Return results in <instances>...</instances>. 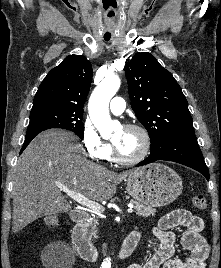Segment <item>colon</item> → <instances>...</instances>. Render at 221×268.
I'll return each mask as SVG.
<instances>
[{
    "label": "colon",
    "mask_w": 221,
    "mask_h": 268,
    "mask_svg": "<svg viewBox=\"0 0 221 268\" xmlns=\"http://www.w3.org/2000/svg\"><path fill=\"white\" fill-rule=\"evenodd\" d=\"M193 205L201 211H204L208 207L207 200L202 195H195L191 198ZM44 224L49 228H54L59 224V218L57 215H49L44 218Z\"/></svg>",
    "instance_id": "obj_1"
}]
</instances>
